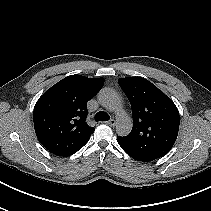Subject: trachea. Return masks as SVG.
Wrapping results in <instances>:
<instances>
[{
  "mask_svg": "<svg viewBox=\"0 0 211 211\" xmlns=\"http://www.w3.org/2000/svg\"><path fill=\"white\" fill-rule=\"evenodd\" d=\"M110 119V116L104 112V111H99L96 115H95V121H108Z\"/></svg>",
  "mask_w": 211,
  "mask_h": 211,
  "instance_id": "obj_1",
  "label": "trachea"
}]
</instances>
